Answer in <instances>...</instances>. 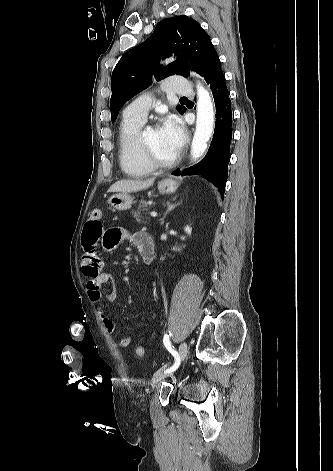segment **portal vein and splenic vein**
Here are the masks:
<instances>
[{"label":"portal vein and splenic vein","mask_w":333,"mask_h":471,"mask_svg":"<svg viewBox=\"0 0 333 471\" xmlns=\"http://www.w3.org/2000/svg\"><path fill=\"white\" fill-rule=\"evenodd\" d=\"M150 215H151V217L155 218L157 216V213L153 211V212L150 213Z\"/></svg>","instance_id":"18ae733b"}]
</instances>
